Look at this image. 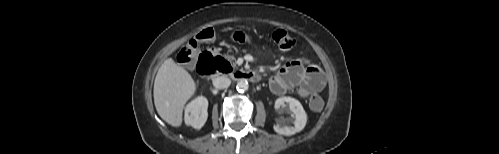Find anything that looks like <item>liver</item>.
Listing matches in <instances>:
<instances>
[{
    "label": "liver",
    "mask_w": 499,
    "mask_h": 154,
    "mask_svg": "<svg viewBox=\"0 0 499 154\" xmlns=\"http://www.w3.org/2000/svg\"><path fill=\"white\" fill-rule=\"evenodd\" d=\"M196 83L172 58L166 59L154 81V104L159 116L173 127L182 125L186 102L195 94Z\"/></svg>",
    "instance_id": "1"
}]
</instances>
